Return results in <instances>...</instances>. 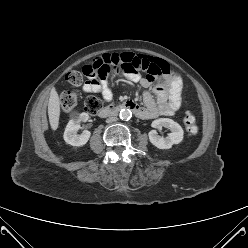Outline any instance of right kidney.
<instances>
[{"label":"right kidney","instance_id":"ca27d5eb","mask_svg":"<svg viewBox=\"0 0 248 248\" xmlns=\"http://www.w3.org/2000/svg\"><path fill=\"white\" fill-rule=\"evenodd\" d=\"M88 119L89 115L87 113H80L74 115L69 120L63 136L66 143L72 146H83L88 142L91 136L90 131L84 130L81 134H77V131L80 129V123Z\"/></svg>","mask_w":248,"mask_h":248}]
</instances>
